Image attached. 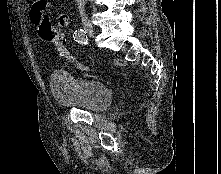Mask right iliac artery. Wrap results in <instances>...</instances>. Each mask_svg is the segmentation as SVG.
I'll use <instances>...</instances> for the list:
<instances>
[{"mask_svg": "<svg viewBox=\"0 0 221 174\" xmlns=\"http://www.w3.org/2000/svg\"><path fill=\"white\" fill-rule=\"evenodd\" d=\"M74 40L80 44L86 45L88 43V38L86 32L82 29H78L74 32Z\"/></svg>", "mask_w": 221, "mask_h": 174, "instance_id": "82829eb1", "label": "right iliac artery"}]
</instances>
